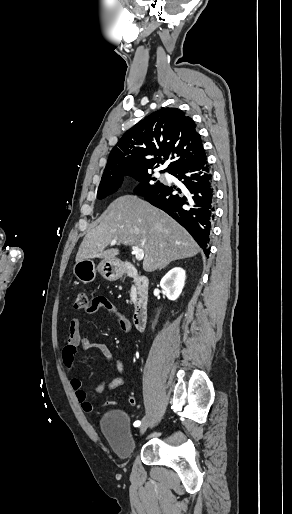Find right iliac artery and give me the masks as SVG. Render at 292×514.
<instances>
[{"label": "right iliac artery", "instance_id": "82829eb1", "mask_svg": "<svg viewBox=\"0 0 292 514\" xmlns=\"http://www.w3.org/2000/svg\"><path fill=\"white\" fill-rule=\"evenodd\" d=\"M140 425H141V421L137 420V421H135V422H134V426H135V427H138V426H140Z\"/></svg>", "mask_w": 292, "mask_h": 514}]
</instances>
